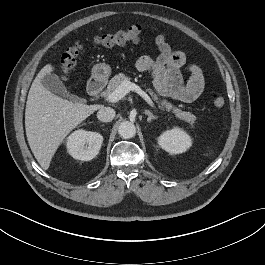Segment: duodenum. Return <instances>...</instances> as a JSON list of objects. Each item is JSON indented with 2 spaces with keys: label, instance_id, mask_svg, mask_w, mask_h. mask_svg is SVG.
I'll list each match as a JSON object with an SVG mask.
<instances>
[{
  "label": "duodenum",
  "instance_id": "410a0bca",
  "mask_svg": "<svg viewBox=\"0 0 265 265\" xmlns=\"http://www.w3.org/2000/svg\"><path fill=\"white\" fill-rule=\"evenodd\" d=\"M104 87V82L100 79H93L89 82L87 91L90 96H97Z\"/></svg>",
  "mask_w": 265,
  "mask_h": 265
}]
</instances>
